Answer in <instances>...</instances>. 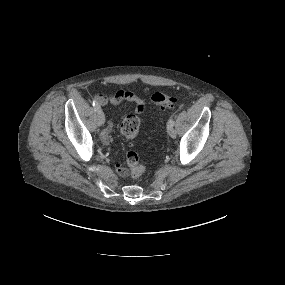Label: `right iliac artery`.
Returning a JSON list of instances; mask_svg holds the SVG:
<instances>
[{
	"mask_svg": "<svg viewBox=\"0 0 285 285\" xmlns=\"http://www.w3.org/2000/svg\"><path fill=\"white\" fill-rule=\"evenodd\" d=\"M93 107H94L96 112L100 110V106H99V104L97 103L96 100L93 101Z\"/></svg>",
	"mask_w": 285,
	"mask_h": 285,
	"instance_id": "82829eb1",
	"label": "right iliac artery"
}]
</instances>
